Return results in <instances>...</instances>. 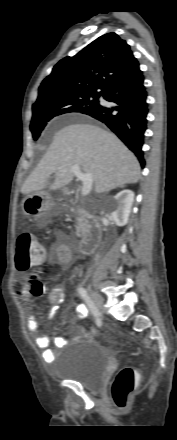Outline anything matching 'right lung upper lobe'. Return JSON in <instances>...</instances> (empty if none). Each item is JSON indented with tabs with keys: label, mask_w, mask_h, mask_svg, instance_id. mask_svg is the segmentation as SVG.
Here are the masks:
<instances>
[{
	"label": "right lung upper lobe",
	"mask_w": 177,
	"mask_h": 440,
	"mask_svg": "<svg viewBox=\"0 0 177 440\" xmlns=\"http://www.w3.org/2000/svg\"><path fill=\"white\" fill-rule=\"evenodd\" d=\"M139 68L130 46L116 33L100 36L73 57H65L39 87L33 108L60 97L104 94Z\"/></svg>",
	"instance_id": "right-lung-upper-lobe-1"
}]
</instances>
